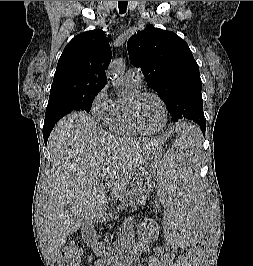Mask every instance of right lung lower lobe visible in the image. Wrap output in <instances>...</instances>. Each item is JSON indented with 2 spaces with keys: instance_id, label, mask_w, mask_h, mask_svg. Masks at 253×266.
<instances>
[{
  "instance_id": "obj_1",
  "label": "right lung lower lobe",
  "mask_w": 253,
  "mask_h": 266,
  "mask_svg": "<svg viewBox=\"0 0 253 266\" xmlns=\"http://www.w3.org/2000/svg\"><path fill=\"white\" fill-rule=\"evenodd\" d=\"M55 123L56 122L47 123V124H44V126H43V137H44L45 144H47L48 137H49L53 127L55 126Z\"/></svg>"
}]
</instances>
